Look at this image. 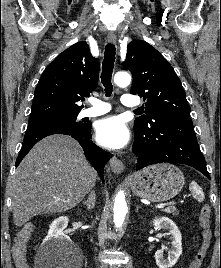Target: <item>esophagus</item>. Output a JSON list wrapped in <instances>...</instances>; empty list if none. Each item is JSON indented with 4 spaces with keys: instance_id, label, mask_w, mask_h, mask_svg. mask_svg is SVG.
<instances>
[{
    "instance_id": "obj_1",
    "label": "esophagus",
    "mask_w": 221,
    "mask_h": 268,
    "mask_svg": "<svg viewBox=\"0 0 221 268\" xmlns=\"http://www.w3.org/2000/svg\"><path fill=\"white\" fill-rule=\"evenodd\" d=\"M107 38L110 43H116L115 34H109ZM110 167L115 174H121L124 170V164L115 156L110 159Z\"/></svg>"
}]
</instances>
